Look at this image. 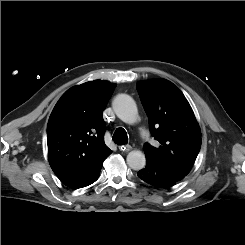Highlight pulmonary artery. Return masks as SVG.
Here are the masks:
<instances>
[{"mask_svg": "<svg viewBox=\"0 0 245 245\" xmlns=\"http://www.w3.org/2000/svg\"><path fill=\"white\" fill-rule=\"evenodd\" d=\"M142 134H143V136H149V133H148V132H146V131H145V132H143ZM148 140H151V138H150V137H148Z\"/></svg>", "mask_w": 245, "mask_h": 245, "instance_id": "1", "label": "pulmonary artery"}]
</instances>
